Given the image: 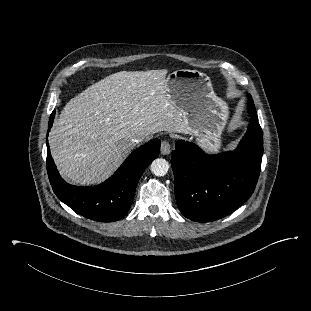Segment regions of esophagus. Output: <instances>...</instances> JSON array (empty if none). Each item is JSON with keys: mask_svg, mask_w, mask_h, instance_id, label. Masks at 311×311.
Wrapping results in <instances>:
<instances>
[{"mask_svg": "<svg viewBox=\"0 0 311 311\" xmlns=\"http://www.w3.org/2000/svg\"><path fill=\"white\" fill-rule=\"evenodd\" d=\"M170 152H171V146H170L169 141H167V140L162 141V143H161V153L163 155H168Z\"/></svg>", "mask_w": 311, "mask_h": 311, "instance_id": "34e87169", "label": "esophagus"}]
</instances>
